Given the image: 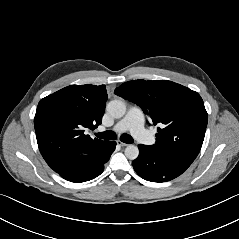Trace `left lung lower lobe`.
<instances>
[{
  "label": "left lung lower lobe",
  "mask_w": 239,
  "mask_h": 239,
  "mask_svg": "<svg viewBox=\"0 0 239 239\" xmlns=\"http://www.w3.org/2000/svg\"><path fill=\"white\" fill-rule=\"evenodd\" d=\"M139 156L132 162L136 173L145 180L165 182L181 175L191 163L151 146L138 145Z\"/></svg>",
  "instance_id": "left-lung-lower-lobe-1"
}]
</instances>
